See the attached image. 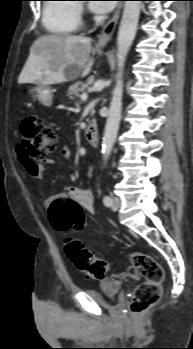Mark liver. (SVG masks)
Wrapping results in <instances>:
<instances>
[{
	"label": "liver",
	"instance_id": "6515ba94",
	"mask_svg": "<svg viewBox=\"0 0 193 349\" xmlns=\"http://www.w3.org/2000/svg\"><path fill=\"white\" fill-rule=\"evenodd\" d=\"M90 53V38L67 34L43 35L32 44L18 83H63L67 81L66 69L69 66H74L78 74L81 72V77H85L94 64Z\"/></svg>",
	"mask_w": 193,
	"mask_h": 349
}]
</instances>
